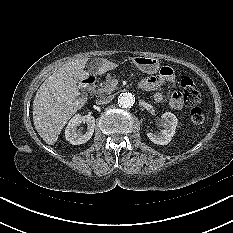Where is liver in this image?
Masks as SVG:
<instances>
[{
  "label": "liver",
  "mask_w": 233,
  "mask_h": 233,
  "mask_svg": "<svg viewBox=\"0 0 233 233\" xmlns=\"http://www.w3.org/2000/svg\"><path fill=\"white\" fill-rule=\"evenodd\" d=\"M87 57L69 61L50 75L39 87L33 101V122L40 137L54 145L67 121L87 102L79 98L78 81L89 73L84 70ZM118 65L107 59H99L90 72L103 74Z\"/></svg>",
  "instance_id": "6515ba94"
}]
</instances>
